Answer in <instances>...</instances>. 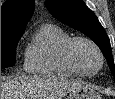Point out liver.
Segmentation results:
<instances>
[{
  "instance_id": "liver-1",
  "label": "liver",
  "mask_w": 115,
  "mask_h": 99,
  "mask_svg": "<svg viewBox=\"0 0 115 99\" xmlns=\"http://www.w3.org/2000/svg\"><path fill=\"white\" fill-rule=\"evenodd\" d=\"M83 86L63 77H13L1 80V99H61Z\"/></svg>"
}]
</instances>
